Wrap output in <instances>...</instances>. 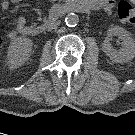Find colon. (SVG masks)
I'll return each instance as SVG.
<instances>
[{
    "mask_svg": "<svg viewBox=\"0 0 135 135\" xmlns=\"http://www.w3.org/2000/svg\"><path fill=\"white\" fill-rule=\"evenodd\" d=\"M117 14L119 20L127 25H135V6L126 0L117 4ZM2 41L0 40V45Z\"/></svg>",
    "mask_w": 135,
    "mask_h": 135,
    "instance_id": "obj_1",
    "label": "colon"
}]
</instances>
